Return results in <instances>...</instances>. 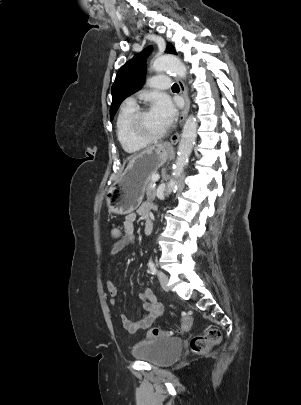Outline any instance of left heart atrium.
Wrapping results in <instances>:
<instances>
[{
    "label": "left heart atrium",
    "instance_id": "39dd6f15",
    "mask_svg": "<svg viewBox=\"0 0 301 405\" xmlns=\"http://www.w3.org/2000/svg\"><path fill=\"white\" fill-rule=\"evenodd\" d=\"M151 111L167 126L173 122L177 114V110L171 99L164 94H160L154 98Z\"/></svg>",
    "mask_w": 301,
    "mask_h": 405
}]
</instances>
